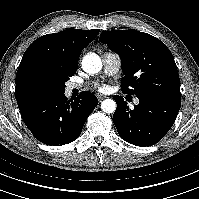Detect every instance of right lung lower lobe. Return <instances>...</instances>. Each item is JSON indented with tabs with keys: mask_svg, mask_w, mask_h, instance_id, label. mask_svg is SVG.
<instances>
[{
	"mask_svg": "<svg viewBox=\"0 0 199 199\" xmlns=\"http://www.w3.org/2000/svg\"><path fill=\"white\" fill-rule=\"evenodd\" d=\"M96 96L82 92L74 101L64 93L18 101L25 125L46 145H64L76 140L97 106Z\"/></svg>",
	"mask_w": 199,
	"mask_h": 199,
	"instance_id": "right-lung-lower-lobe-1",
	"label": "right lung lower lobe"
}]
</instances>
